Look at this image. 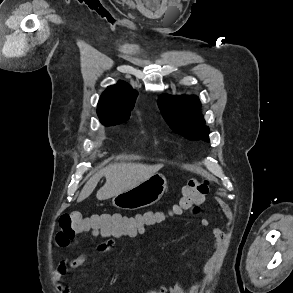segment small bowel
Wrapping results in <instances>:
<instances>
[{"label": "small bowel", "instance_id": "obj_1", "mask_svg": "<svg viewBox=\"0 0 293 293\" xmlns=\"http://www.w3.org/2000/svg\"><path fill=\"white\" fill-rule=\"evenodd\" d=\"M198 210V206L193 210V212H196ZM137 219H140L144 222V226L140 227L138 229L124 232V233H118V234H112L104 236V240L98 243L95 247L96 252L98 253H111L114 251L115 248V239L121 238V237H138L145 233L146 227H153L156 224H159L163 221L164 216L162 214L153 213V212H147L143 215H137ZM201 224L205 227H209L211 225V222L207 218H203L201 220ZM211 234L213 237V245L211 248H208L202 252V254H208L213 250H216L220 248L222 245L224 234L223 231L219 228H212ZM88 260V257L86 254H81L69 261H62L58 264L53 279L56 283H58L60 293H72L71 287L69 284L64 283L60 284V282L67 279V274L70 270L79 268L83 266ZM117 280V276H113L111 279V283L114 284ZM201 287V284H194L190 287H184L181 284H174L169 287H163L158 291H152L150 293H194Z\"/></svg>", "mask_w": 293, "mask_h": 293}]
</instances>
